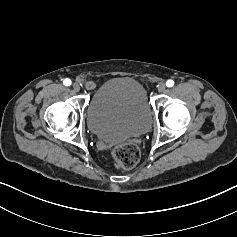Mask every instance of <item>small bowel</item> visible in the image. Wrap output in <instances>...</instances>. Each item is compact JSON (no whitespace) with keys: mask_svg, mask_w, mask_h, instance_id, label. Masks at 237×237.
<instances>
[{"mask_svg":"<svg viewBox=\"0 0 237 237\" xmlns=\"http://www.w3.org/2000/svg\"><path fill=\"white\" fill-rule=\"evenodd\" d=\"M89 86L92 87V83L91 82L89 83Z\"/></svg>","mask_w":237,"mask_h":237,"instance_id":"1","label":"small bowel"}]
</instances>
